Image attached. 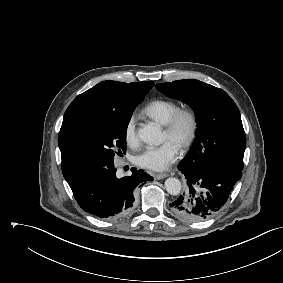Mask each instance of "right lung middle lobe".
<instances>
[{"instance_id":"right-lung-middle-lobe-1","label":"right lung middle lobe","mask_w":283,"mask_h":283,"mask_svg":"<svg viewBox=\"0 0 283 283\" xmlns=\"http://www.w3.org/2000/svg\"><path fill=\"white\" fill-rule=\"evenodd\" d=\"M77 109L63 119L58 136L62 160L88 169L111 167L115 154L126 151V131L135 107Z\"/></svg>"}]
</instances>
